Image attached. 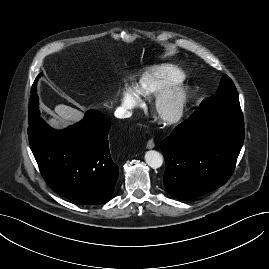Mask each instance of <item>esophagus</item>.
<instances>
[{
	"label": "esophagus",
	"instance_id": "1",
	"mask_svg": "<svg viewBox=\"0 0 269 269\" xmlns=\"http://www.w3.org/2000/svg\"><path fill=\"white\" fill-rule=\"evenodd\" d=\"M154 147H155L154 141H153V140H149V141L147 142V148H148V149H152V148H154Z\"/></svg>",
	"mask_w": 269,
	"mask_h": 269
}]
</instances>
